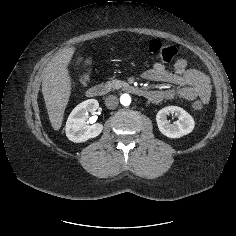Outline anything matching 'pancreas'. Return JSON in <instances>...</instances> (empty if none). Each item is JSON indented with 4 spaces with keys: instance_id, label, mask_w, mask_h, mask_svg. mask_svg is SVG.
<instances>
[{
    "instance_id": "cf45deb5",
    "label": "pancreas",
    "mask_w": 236,
    "mask_h": 236,
    "mask_svg": "<svg viewBox=\"0 0 236 236\" xmlns=\"http://www.w3.org/2000/svg\"><path fill=\"white\" fill-rule=\"evenodd\" d=\"M128 84L124 81H121V80H117V79H113L111 81H107L105 83V87L110 91L112 89H119L121 87H125L127 86Z\"/></svg>"
}]
</instances>
